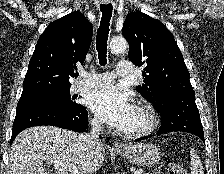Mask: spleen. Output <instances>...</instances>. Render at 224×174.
Segmentation results:
<instances>
[{
  "instance_id": "spleen-1",
  "label": "spleen",
  "mask_w": 224,
  "mask_h": 174,
  "mask_svg": "<svg viewBox=\"0 0 224 174\" xmlns=\"http://www.w3.org/2000/svg\"><path fill=\"white\" fill-rule=\"evenodd\" d=\"M190 156H191V174H204L201 160L194 149H191Z\"/></svg>"
}]
</instances>
